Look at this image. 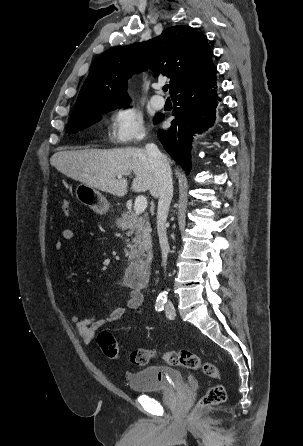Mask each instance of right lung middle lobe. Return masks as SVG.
<instances>
[{
    "instance_id": "obj_1",
    "label": "right lung middle lobe",
    "mask_w": 303,
    "mask_h": 446,
    "mask_svg": "<svg viewBox=\"0 0 303 446\" xmlns=\"http://www.w3.org/2000/svg\"><path fill=\"white\" fill-rule=\"evenodd\" d=\"M127 105H123V106H112V105H107V106H102V107H98L95 108L91 111L82 113V114H78V115H72L70 118V121L68 123L67 126V133H76L78 132L80 129H84L92 124H94L96 121H98L100 119L99 115L106 113L112 109L115 108H119V107H126ZM159 115L155 116V122L157 121Z\"/></svg>"
}]
</instances>
